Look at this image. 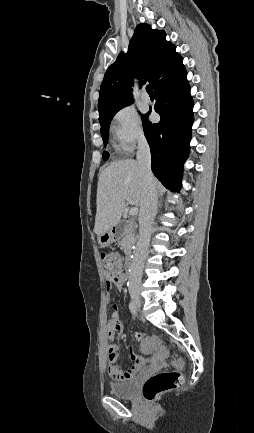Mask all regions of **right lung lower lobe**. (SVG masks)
Segmentation results:
<instances>
[{"mask_svg": "<svg viewBox=\"0 0 254 433\" xmlns=\"http://www.w3.org/2000/svg\"><path fill=\"white\" fill-rule=\"evenodd\" d=\"M154 93V110L160 115V122L155 124L148 120L151 110L142 116L151 150V168L166 188L178 191L193 124V101L183 59L154 88Z\"/></svg>", "mask_w": 254, "mask_h": 433, "instance_id": "1", "label": "right lung lower lobe"}]
</instances>
